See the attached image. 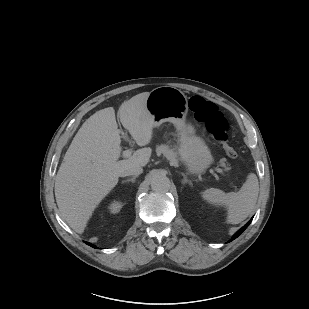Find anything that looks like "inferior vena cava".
I'll return each mask as SVG.
<instances>
[{
  "label": "inferior vena cava",
  "mask_w": 309,
  "mask_h": 309,
  "mask_svg": "<svg viewBox=\"0 0 309 309\" xmlns=\"http://www.w3.org/2000/svg\"><path fill=\"white\" fill-rule=\"evenodd\" d=\"M142 172H143L142 167H140V166H133V167H129V168L123 170V171L120 173V176H121V177L130 176V175L138 176V175H140Z\"/></svg>",
  "instance_id": "1"
}]
</instances>
